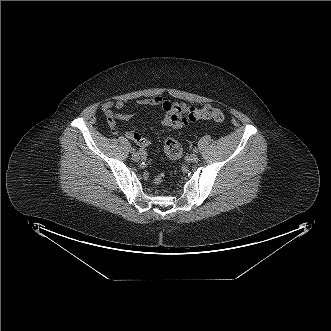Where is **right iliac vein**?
I'll list each match as a JSON object with an SVG mask.
<instances>
[{
    "label": "right iliac vein",
    "mask_w": 331,
    "mask_h": 331,
    "mask_svg": "<svg viewBox=\"0 0 331 331\" xmlns=\"http://www.w3.org/2000/svg\"><path fill=\"white\" fill-rule=\"evenodd\" d=\"M132 158L135 161H139L141 159V154L139 152L133 153Z\"/></svg>",
    "instance_id": "obj_1"
}]
</instances>
